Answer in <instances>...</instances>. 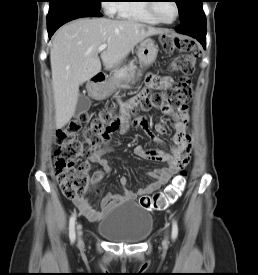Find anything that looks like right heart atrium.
<instances>
[{"label": "right heart atrium", "instance_id": "1", "mask_svg": "<svg viewBox=\"0 0 258 275\" xmlns=\"http://www.w3.org/2000/svg\"><path fill=\"white\" fill-rule=\"evenodd\" d=\"M114 4H115V3H109V4H107V10H108L110 13H112V12L114 11V9H115Z\"/></svg>", "mask_w": 258, "mask_h": 275}]
</instances>
